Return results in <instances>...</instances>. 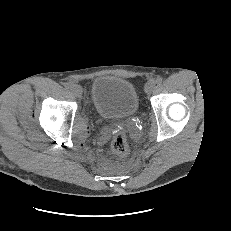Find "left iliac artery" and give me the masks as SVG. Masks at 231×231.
Wrapping results in <instances>:
<instances>
[{"label": "left iliac artery", "mask_w": 231, "mask_h": 231, "mask_svg": "<svg viewBox=\"0 0 231 231\" xmlns=\"http://www.w3.org/2000/svg\"><path fill=\"white\" fill-rule=\"evenodd\" d=\"M163 79L161 77L156 78L155 83L156 84H161Z\"/></svg>", "instance_id": "44dca946"}]
</instances>
